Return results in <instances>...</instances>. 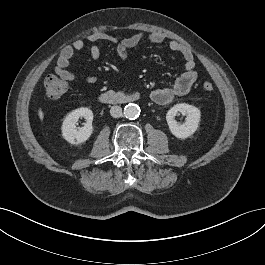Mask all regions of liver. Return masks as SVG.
Wrapping results in <instances>:
<instances>
[{
	"label": "liver",
	"mask_w": 265,
	"mask_h": 265,
	"mask_svg": "<svg viewBox=\"0 0 265 265\" xmlns=\"http://www.w3.org/2000/svg\"><path fill=\"white\" fill-rule=\"evenodd\" d=\"M38 116H39L40 120L42 121L43 118H44V113H43V111L41 110V108L38 109Z\"/></svg>",
	"instance_id": "6515ba94"
}]
</instances>
